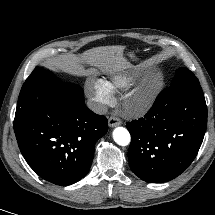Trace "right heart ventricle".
<instances>
[{
  "label": "right heart ventricle",
  "instance_id": "1",
  "mask_svg": "<svg viewBox=\"0 0 215 215\" xmlns=\"http://www.w3.org/2000/svg\"><path fill=\"white\" fill-rule=\"evenodd\" d=\"M105 83L111 91L122 89L126 86V80L120 77L111 78L110 80L105 81Z\"/></svg>",
  "mask_w": 215,
  "mask_h": 215
}]
</instances>
